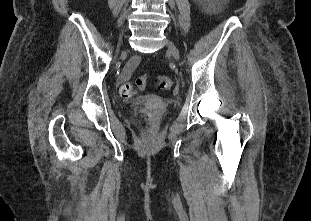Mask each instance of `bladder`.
<instances>
[{
  "label": "bladder",
  "mask_w": 311,
  "mask_h": 221,
  "mask_svg": "<svg viewBox=\"0 0 311 221\" xmlns=\"http://www.w3.org/2000/svg\"><path fill=\"white\" fill-rule=\"evenodd\" d=\"M145 99H146V100L150 99V95H147V96L145 97Z\"/></svg>",
  "instance_id": "obj_1"
}]
</instances>
